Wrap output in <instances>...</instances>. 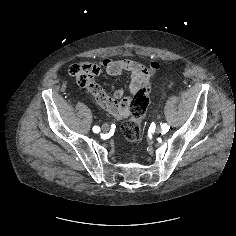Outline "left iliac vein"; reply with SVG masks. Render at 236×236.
<instances>
[{"label": "left iliac vein", "instance_id": "1", "mask_svg": "<svg viewBox=\"0 0 236 236\" xmlns=\"http://www.w3.org/2000/svg\"><path fill=\"white\" fill-rule=\"evenodd\" d=\"M162 132H163L162 128L158 127V128L156 129V133H157V134H161Z\"/></svg>", "mask_w": 236, "mask_h": 236}]
</instances>
